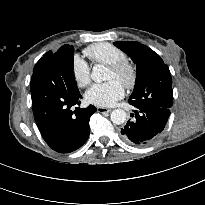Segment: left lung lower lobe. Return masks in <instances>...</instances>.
Listing matches in <instances>:
<instances>
[{
	"mask_svg": "<svg viewBox=\"0 0 205 205\" xmlns=\"http://www.w3.org/2000/svg\"><path fill=\"white\" fill-rule=\"evenodd\" d=\"M131 116L134 118L121 130V138L131 145L142 146L153 142L163 131L170 108L139 106Z\"/></svg>",
	"mask_w": 205,
	"mask_h": 205,
	"instance_id": "obj_1",
	"label": "left lung lower lobe"
}]
</instances>
